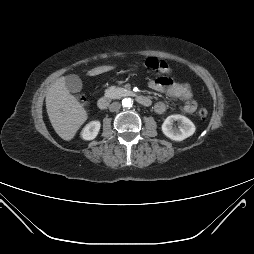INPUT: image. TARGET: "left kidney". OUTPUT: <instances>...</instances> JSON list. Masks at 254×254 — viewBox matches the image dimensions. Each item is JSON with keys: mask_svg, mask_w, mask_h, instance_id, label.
Masks as SVG:
<instances>
[{"mask_svg": "<svg viewBox=\"0 0 254 254\" xmlns=\"http://www.w3.org/2000/svg\"><path fill=\"white\" fill-rule=\"evenodd\" d=\"M174 121H178V127H174ZM196 128L193 122L185 116L176 114L168 116L162 124V131L165 136L174 140L182 141L195 132Z\"/></svg>", "mask_w": 254, "mask_h": 254, "instance_id": "5707ae66", "label": "left kidney"}]
</instances>
